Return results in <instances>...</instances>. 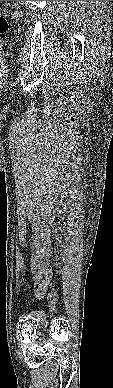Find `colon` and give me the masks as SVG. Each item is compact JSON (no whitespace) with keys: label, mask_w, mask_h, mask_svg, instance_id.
Returning <instances> with one entry per match:
<instances>
[{"label":"colon","mask_w":113,"mask_h":388,"mask_svg":"<svg viewBox=\"0 0 113 388\" xmlns=\"http://www.w3.org/2000/svg\"><path fill=\"white\" fill-rule=\"evenodd\" d=\"M8 29H9V24L6 19V16L2 11H0V42L6 38Z\"/></svg>","instance_id":"1"}]
</instances>
